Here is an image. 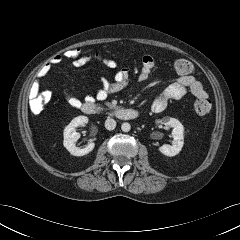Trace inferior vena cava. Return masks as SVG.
<instances>
[{
  "mask_svg": "<svg viewBox=\"0 0 240 240\" xmlns=\"http://www.w3.org/2000/svg\"><path fill=\"white\" fill-rule=\"evenodd\" d=\"M116 127V121L112 118H107L105 121V128L107 130H114Z\"/></svg>",
  "mask_w": 240,
  "mask_h": 240,
  "instance_id": "obj_1",
  "label": "inferior vena cava"
}]
</instances>
